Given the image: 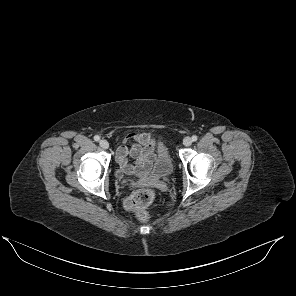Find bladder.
Listing matches in <instances>:
<instances>
[{"label":"bladder","mask_w":296,"mask_h":296,"mask_svg":"<svg viewBox=\"0 0 296 296\" xmlns=\"http://www.w3.org/2000/svg\"><path fill=\"white\" fill-rule=\"evenodd\" d=\"M155 159L150 173L159 179L169 177L174 172V161L167 145L163 141H158L155 149Z\"/></svg>","instance_id":"bladder-1"}]
</instances>
